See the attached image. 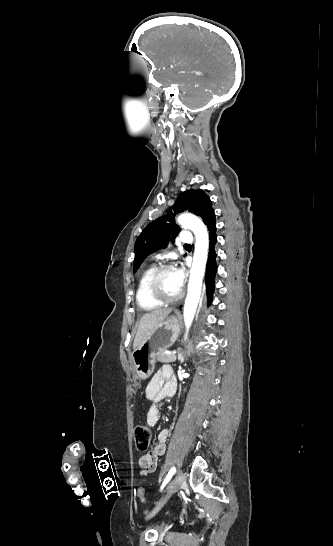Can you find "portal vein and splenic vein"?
<instances>
[{"mask_svg":"<svg viewBox=\"0 0 333 546\" xmlns=\"http://www.w3.org/2000/svg\"><path fill=\"white\" fill-rule=\"evenodd\" d=\"M171 353H172V354H176V351H172Z\"/></svg>","mask_w":333,"mask_h":546,"instance_id":"1","label":"portal vein and splenic vein"}]
</instances>
